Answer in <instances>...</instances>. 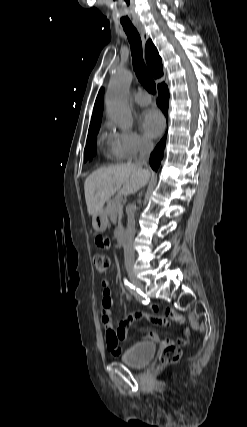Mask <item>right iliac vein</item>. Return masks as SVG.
Here are the masks:
<instances>
[{
  "mask_svg": "<svg viewBox=\"0 0 247 427\" xmlns=\"http://www.w3.org/2000/svg\"><path fill=\"white\" fill-rule=\"evenodd\" d=\"M131 281H132V283L138 288V289H140V290H142V291H144L145 290V287H144V285L138 280V279H136L135 277H132L131 278Z\"/></svg>",
  "mask_w": 247,
  "mask_h": 427,
  "instance_id": "1",
  "label": "right iliac vein"
}]
</instances>
